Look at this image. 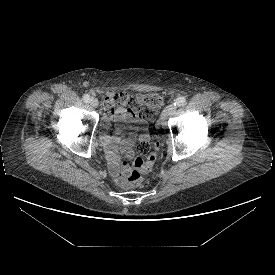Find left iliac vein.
<instances>
[{"mask_svg": "<svg viewBox=\"0 0 275 275\" xmlns=\"http://www.w3.org/2000/svg\"><path fill=\"white\" fill-rule=\"evenodd\" d=\"M175 110L176 107L174 106V104H170L162 111L160 116V122L164 128L167 127L168 118L175 113Z\"/></svg>", "mask_w": 275, "mask_h": 275, "instance_id": "1", "label": "left iliac vein"}]
</instances>
